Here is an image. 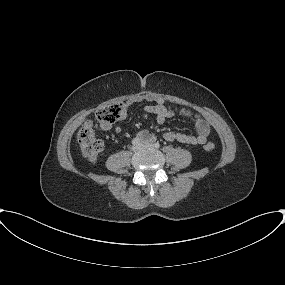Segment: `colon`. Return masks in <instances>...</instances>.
Masks as SVG:
<instances>
[{"label": "colon", "mask_w": 285, "mask_h": 285, "mask_svg": "<svg viewBox=\"0 0 285 285\" xmlns=\"http://www.w3.org/2000/svg\"><path fill=\"white\" fill-rule=\"evenodd\" d=\"M124 113L121 103L107 105L96 112L97 120L104 125H111L118 121ZM77 142L82 156L90 163H95L103 150V142L97 136L91 121H87L77 134ZM214 143L207 142L204 145L206 151H212Z\"/></svg>", "instance_id": "1"}]
</instances>
